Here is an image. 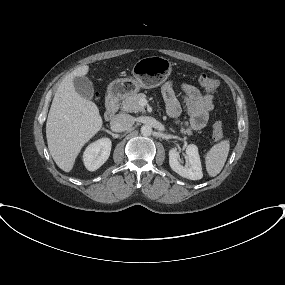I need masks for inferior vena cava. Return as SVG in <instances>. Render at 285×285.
Listing matches in <instances>:
<instances>
[{
  "instance_id": "602c4592",
  "label": "inferior vena cava",
  "mask_w": 285,
  "mask_h": 285,
  "mask_svg": "<svg viewBox=\"0 0 285 285\" xmlns=\"http://www.w3.org/2000/svg\"><path fill=\"white\" fill-rule=\"evenodd\" d=\"M133 124V116L124 113L117 114L110 122L111 129L114 132H123L129 130Z\"/></svg>"
}]
</instances>
